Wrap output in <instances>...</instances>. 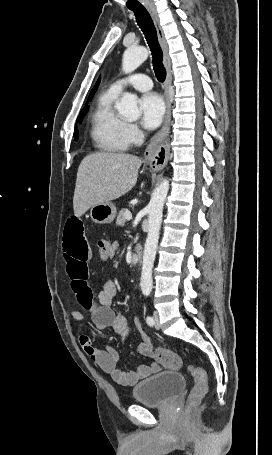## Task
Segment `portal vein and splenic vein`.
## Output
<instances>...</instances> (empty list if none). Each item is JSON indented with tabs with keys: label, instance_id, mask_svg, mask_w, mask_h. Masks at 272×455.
Wrapping results in <instances>:
<instances>
[{
	"label": "portal vein and splenic vein",
	"instance_id": "portal-vein-and-splenic-vein-1",
	"mask_svg": "<svg viewBox=\"0 0 272 455\" xmlns=\"http://www.w3.org/2000/svg\"><path fill=\"white\" fill-rule=\"evenodd\" d=\"M126 219H127L128 221H130V220L132 219V214H131L130 211H127V212H126Z\"/></svg>",
	"mask_w": 272,
	"mask_h": 455
}]
</instances>
